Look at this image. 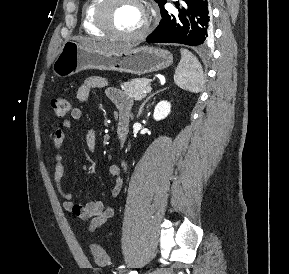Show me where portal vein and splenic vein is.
Returning <instances> with one entry per match:
<instances>
[{
	"mask_svg": "<svg viewBox=\"0 0 289 274\" xmlns=\"http://www.w3.org/2000/svg\"><path fill=\"white\" fill-rule=\"evenodd\" d=\"M151 87L149 86V87H147L144 91H143V93H148V92H150L151 91Z\"/></svg>",
	"mask_w": 289,
	"mask_h": 274,
	"instance_id": "18ae733b",
	"label": "portal vein and splenic vein"
}]
</instances>
